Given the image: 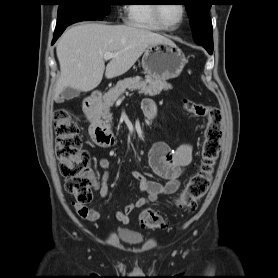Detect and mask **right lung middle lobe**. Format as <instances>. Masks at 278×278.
<instances>
[{
	"label": "right lung middle lobe",
	"instance_id": "obj_1",
	"mask_svg": "<svg viewBox=\"0 0 278 278\" xmlns=\"http://www.w3.org/2000/svg\"><path fill=\"white\" fill-rule=\"evenodd\" d=\"M113 0H58L56 28L84 20H102L110 13Z\"/></svg>",
	"mask_w": 278,
	"mask_h": 278
}]
</instances>
